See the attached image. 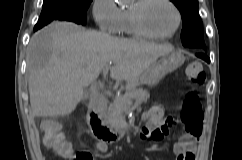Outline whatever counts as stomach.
Wrapping results in <instances>:
<instances>
[{"label":"stomach","mask_w":242,"mask_h":160,"mask_svg":"<svg viewBox=\"0 0 242 160\" xmlns=\"http://www.w3.org/2000/svg\"><path fill=\"white\" fill-rule=\"evenodd\" d=\"M185 60V57L180 52L173 51L172 53L162 56L155 61L140 77L133 82H127L126 89H136L139 85L145 84L154 86L168 73L180 67Z\"/></svg>","instance_id":"1"}]
</instances>
